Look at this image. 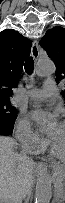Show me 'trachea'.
Returning <instances> with one entry per match:
<instances>
[{
  "instance_id": "3493384b",
  "label": "trachea",
  "mask_w": 65,
  "mask_h": 203,
  "mask_svg": "<svg viewBox=\"0 0 65 203\" xmlns=\"http://www.w3.org/2000/svg\"><path fill=\"white\" fill-rule=\"evenodd\" d=\"M24 69L27 74H32L34 69V60L32 57L26 59Z\"/></svg>"
}]
</instances>
